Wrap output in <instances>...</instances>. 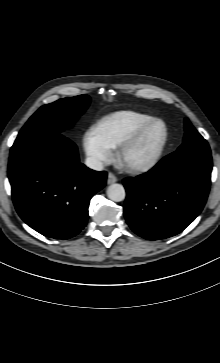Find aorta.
<instances>
[{"label": "aorta", "instance_id": "aorta-1", "mask_svg": "<svg viewBox=\"0 0 220 363\" xmlns=\"http://www.w3.org/2000/svg\"><path fill=\"white\" fill-rule=\"evenodd\" d=\"M107 196L112 201L120 202L125 199L126 192L121 184L114 183L107 188Z\"/></svg>", "mask_w": 220, "mask_h": 363}]
</instances>
